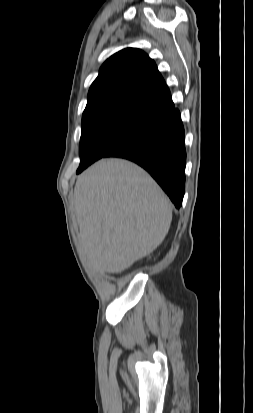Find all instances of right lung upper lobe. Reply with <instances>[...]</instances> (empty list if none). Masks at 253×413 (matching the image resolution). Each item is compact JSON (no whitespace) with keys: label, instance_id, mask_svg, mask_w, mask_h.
I'll use <instances>...</instances> for the list:
<instances>
[{"label":"right lung upper lobe","instance_id":"cb5924a9","mask_svg":"<svg viewBox=\"0 0 253 413\" xmlns=\"http://www.w3.org/2000/svg\"><path fill=\"white\" fill-rule=\"evenodd\" d=\"M115 108L158 118L174 109L155 62L140 49H123L105 61L90 87L83 116Z\"/></svg>","mask_w":253,"mask_h":413}]
</instances>
